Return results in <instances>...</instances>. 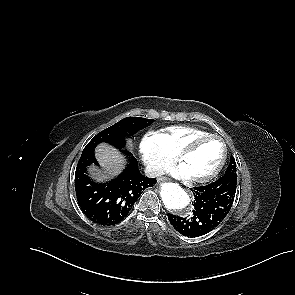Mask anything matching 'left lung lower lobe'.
Wrapping results in <instances>:
<instances>
[{
	"mask_svg": "<svg viewBox=\"0 0 295 295\" xmlns=\"http://www.w3.org/2000/svg\"><path fill=\"white\" fill-rule=\"evenodd\" d=\"M237 187V177L225 175L213 183L194 187V210L189 218L168 214L173 227L187 237L207 234L217 227L229 213Z\"/></svg>",
	"mask_w": 295,
	"mask_h": 295,
	"instance_id": "left-lung-lower-lobe-1",
	"label": "left lung lower lobe"
}]
</instances>
